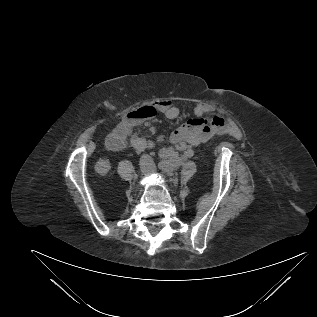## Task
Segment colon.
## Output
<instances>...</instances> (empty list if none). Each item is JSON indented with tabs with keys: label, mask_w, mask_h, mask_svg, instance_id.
<instances>
[{
	"label": "colon",
	"mask_w": 317,
	"mask_h": 317,
	"mask_svg": "<svg viewBox=\"0 0 317 317\" xmlns=\"http://www.w3.org/2000/svg\"><path fill=\"white\" fill-rule=\"evenodd\" d=\"M157 114V108L155 106H144L136 111H133L130 114L131 120L133 122H138L143 119H148L156 116Z\"/></svg>",
	"instance_id": "colon-1"
}]
</instances>
